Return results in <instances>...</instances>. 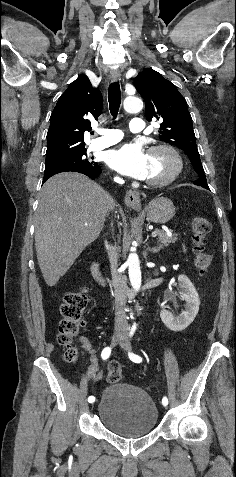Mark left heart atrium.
I'll list each match as a JSON object with an SVG mask.
<instances>
[{
    "label": "left heart atrium",
    "instance_id": "39dd6f15",
    "mask_svg": "<svg viewBox=\"0 0 236 477\" xmlns=\"http://www.w3.org/2000/svg\"><path fill=\"white\" fill-rule=\"evenodd\" d=\"M108 165L118 172L136 179H146L148 153L139 143H126L107 153Z\"/></svg>",
    "mask_w": 236,
    "mask_h": 477
}]
</instances>
